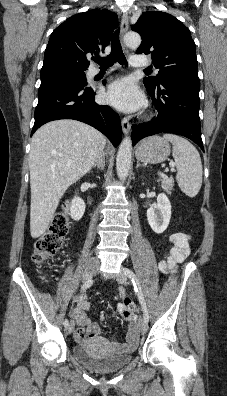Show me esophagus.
<instances>
[{"instance_id":"obj_1","label":"esophagus","mask_w":227,"mask_h":396,"mask_svg":"<svg viewBox=\"0 0 227 396\" xmlns=\"http://www.w3.org/2000/svg\"><path fill=\"white\" fill-rule=\"evenodd\" d=\"M128 20H129L128 14L127 13H123L122 19H121V30H120L121 41H123L125 33L128 30ZM123 50H124V52L126 54H129V50H128V48L125 45H123ZM121 125H122V130H123L124 134H128L130 129H131V125L129 123V120L127 118H123L121 120Z\"/></svg>"}]
</instances>
